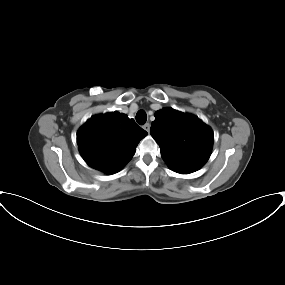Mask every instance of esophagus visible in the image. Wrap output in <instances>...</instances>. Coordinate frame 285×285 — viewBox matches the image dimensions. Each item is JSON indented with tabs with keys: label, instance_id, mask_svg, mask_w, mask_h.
Wrapping results in <instances>:
<instances>
[{
	"label": "esophagus",
	"instance_id": "esophagus-1",
	"mask_svg": "<svg viewBox=\"0 0 285 285\" xmlns=\"http://www.w3.org/2000/svg\"><path fill=\"white\" fill-rule=\"evenodd\" d=\"M144 130H146L148 133L150 131V123H146L143 125Z\"/></svg>",
	"mask_w": 285,
	"mask_h": 285
}]
</instances>
